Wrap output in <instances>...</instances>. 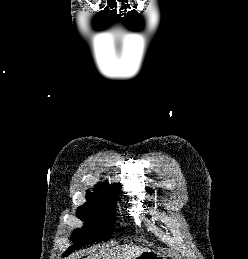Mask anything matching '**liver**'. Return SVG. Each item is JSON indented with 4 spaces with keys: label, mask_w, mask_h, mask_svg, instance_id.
I'll return each instance as SVG.
<instances>
[{
    "label": "liver",
    "mask_w": 248,
    "mask_h": 259,
    "mask_svg": "<svg viewBox=\"0 0 248 259\" xmlns=\"http://www.w3.org/2000/svg\"><path fill=\"white\" fill-rule=\"evenodd\" d=\"M146 250L147 248L135 245L114 246L111 249L105 248L99 252L91 253L84 259H135Z\"/></svg>",
    "instance_id": "liver-1"
}]
</instances>
